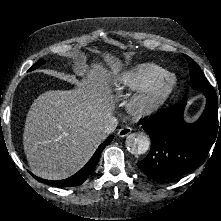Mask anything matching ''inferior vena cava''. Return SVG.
Segmentation results:
<instances>
[{"instance_id":"inferior-vena-cava-1","label":"inferior vena cava","mask_w":221,"mask_h":221,"mask_svg":"<svg viewBox=\"0 0 221 221\" xmlns=\"http://www.w3.org/2000/svg\"><path fill=\"white\" fill-rule=\"evenodd\" d=\"M116 126H117V119L113 116H110L106 120L105 125L102 129L103 135L110 134V133L114 132Z\"/></svg>"}]
</instances>
